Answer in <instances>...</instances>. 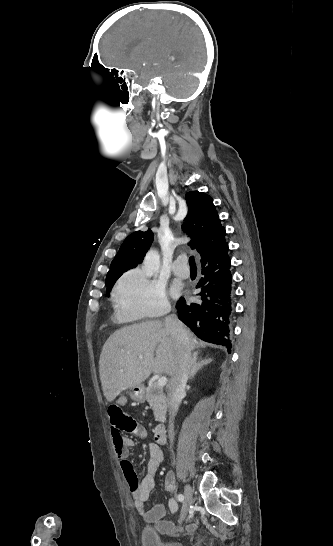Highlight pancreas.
I'll list each match as a JSON object with an SVG mask.
<instances>
[{
	"instance_id": "pancreas-1",
	"label": "pancreas",
	"mask_w": 333,
	"mask_h": 546,
	"mask_svg": "<svg viewBox=\"0 0 333 546\" xmlns=\"http://www.w3.org/2000/svg\"><path fill=\"white\" fill-rule=\"evenodd\" d=\"M146 400L153 409L155 420L162 421L167 411V399L163 388L158 386L157 383L148 386Z\"/></svg>"
}]
</instances>
